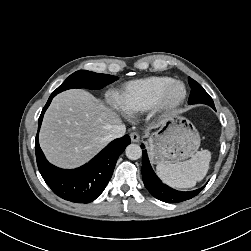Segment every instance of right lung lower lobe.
Here are the masks:
<instances>
[{
    "mask_svg": "<svg viewBox=\"0 0 251 251\" xmlns=\"http://www.w3.org/2000/svg\"><path fill=\"white\" fill-rule=\"evenodd\" d=\"M57 94L53 92L43 108L38 120V132L43 115ZM129 144L130 137L128 135L116 139L109 143L91 161L71 170L60 169L46 160L39 146L38 133L36 136L35 153L38 169L46 184L56 195L75 203H89L103 192L113 174L118 157Z\"/></svg>",
    "mask_w": 251,
    "mask_h": 251,
    "instance_id": "right-lung-lower-lobe-1",
    "label": "right lung lower lobe"
}]
</instances>
